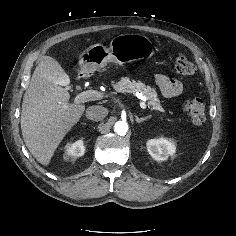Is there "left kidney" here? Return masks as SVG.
<instances>
[{"label": "left kidney", "instance_id": "1", "mask_svg": "<svg viewBox=\"0 0 236 236\" xmlns=\"http://www.w3.org/2000/svg\"><path fill=\"white\" fill-rule=\"evenodd\" d=\"M147 150L153 159L164 161L174 155L176 146L174 142L165 138L150 139L147 142Z\"/></svg>", "mask_w": 236, "mask_h": 236}]
</instances>
